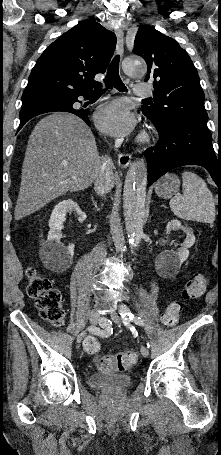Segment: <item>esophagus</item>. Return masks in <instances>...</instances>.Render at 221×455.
Instances as JSON below:
<instances>
[{
    "label": "esophagus",
    "instance_id": "34e87169",
    "mask_svg": "<svg viewBox=\"0 0 221 455\" xmlns=\"http://www.w3.org/2000/svg\"><path fill=\"white\" fill-rule=\"evenodd\" d=\"M115 34L117 37V52L119 55H123L124 51V34L123 31L120 28L115 29ZM131 162V155L130 154H123L120 153L118 155V164L122 168H127L130 165Z\"/></svg>",
    "mask_w": 221,
    "mask_h": 455
}]
</instances>
